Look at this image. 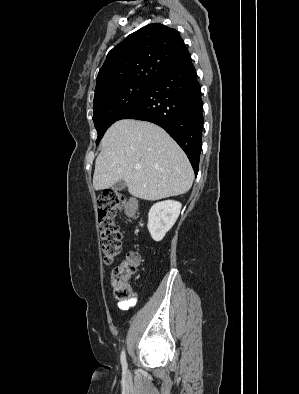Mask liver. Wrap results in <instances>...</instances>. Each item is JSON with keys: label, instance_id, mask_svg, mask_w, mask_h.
I'll return each instance as SVG.
<instances>
[{"label": "liver", "instance_id": "liver-1", "mask_svg": "<svg viewBox=\"0 0 299 394\" xmlns=\"http://www.w3.org/2000/svg\"><path fill=\"white\" fill-rule=\"evenodd\" d=\"M121 179L131 195L154 201L186 193L194 172L183 150L161 127L123 119L115 122L102 139L93 187L107 189Z\"/></svg>", "mask_w": 299, "mask_h": 394}]
</instances>
